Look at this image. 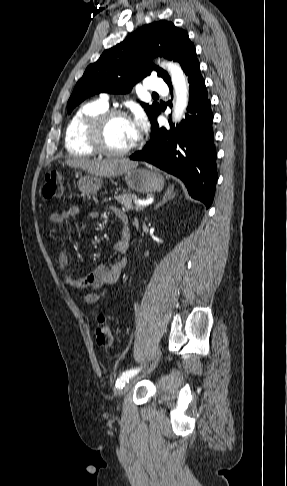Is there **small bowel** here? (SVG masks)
<instances>
[{
    "mask_svg": "<svg viewBox=\"0 0 287 486\" xmlns=\"http://www.w3.org/2000/svg\"><path fill=\"white\" fill-rule=\"evenodd\" d=\"M113 213L124 224L121 236L115 245V250L120 255L110 265H99L86 276L74 278L70 272L69 257L66 251L58 252V264L61 270L62 284L64 287L74 291L89 289L82 295L86 303H96L101 298L109 295L117 286L122 270L126 266L127 259L125 254L128 251L130 243V229L127 226L128 218L124 212L118 208H112ZM81 210L77 206H72L59 213H51L48 220L54 225H63L65 222L79 216ZM90 219H97L99 213L90 211L87 214Z\"/></svg>",
    "mask_w": 287,
    "mask_h": 486,
    "instance_id": "c3829d8e",
    "label": "small bowel"
}]
</instances>
